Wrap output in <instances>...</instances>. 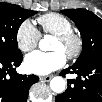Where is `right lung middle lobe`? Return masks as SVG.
I'll list each match as a JSON object with an SVG mask.
<instances>
[{"mask_svg": "<svg viewBox=\"0 0 102 102\" xmlns=\"http://www.w3.org/2000/svg\"><path fill=\"white\" fill-rule=\"evenodd\" d=\"M37 11L26 10L18 5L0 3V56L21 53L17 44V32L22 22Z\"/></svg>", "mask_w": 102, "mask_h": 102, "instance_id": "1", "label": "right lung middle lobe"}]
</instances>
